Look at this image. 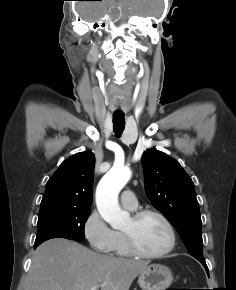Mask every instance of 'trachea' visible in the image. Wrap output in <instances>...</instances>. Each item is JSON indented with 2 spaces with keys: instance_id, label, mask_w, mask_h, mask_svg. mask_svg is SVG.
<instances>
[{
  "instance_id": "obj_1",
  "label": "trachea",
  "mask_w": 236,
  "mask_h": 290,
  "mask_svg": "<svg viewBox=\"0 0 236 290\" xmlns=\"http://www.w3.org/2000/svg\"><path fill=\"white\" fill-rule=\"evenodd\" d=\"M125 127V118L123 114L115 113L113 115V129L116 136H120Z\"/></svg>"
}]
</instances>
